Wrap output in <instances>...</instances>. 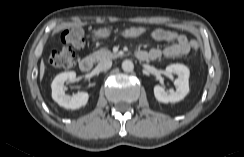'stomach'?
Returning a JSON list of instances; mask_svg holds the SVG:
<instances>
[{"mask_svg": "<svg viewBox=\"0 0 244 157\" xmlns=\"http://www.w3.org/2000/svg\"><path fill=\"white\" fill-rule=\"evenodd\" d=\"M110 30L106 29V28H101L98 29L96 31H94V35L98 38H107L110 36Z\"/></svg>", "mask_w": 244, "mask_h": 157, "instance_id": "1", "label": "stomach"}]
</instances>
